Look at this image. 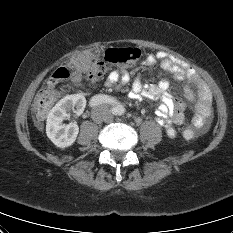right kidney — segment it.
Instances as JSON below:
<instances>
[{"mask_svg": "<svg viewBox=\"0 0 233 233\" xmlns=\"http://www.w3.org/2000/svg\"><path fill=\"white\" fill-rule=\"evenodd\" d=\"M86 106V99L83 95H68L61 99L49 112L46 123L48 138L59 148L71 146L79 133L76 122L64 124L63 120L72 110L76 115H81Z\"/></svg>", "mask_w": 233, "mask_h": 233, "instance_id": "1", "label": "right kidney"}]
</instances>
